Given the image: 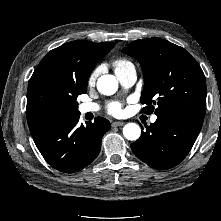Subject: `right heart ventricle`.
Listing matches in <instances>:
<instances>
[{
    "label": "right heart ventricle",
    "instance_id": "e07e8e85",
    "mask_svg": "<svg viewBox=\"0 0 221 221\" xmlns=\"http://www.w3.org/2000/svg\"><path fill=\"white\" fill-rule=\"evenodd\" d=\"M131 63L127 61L126 59H117L113 62V66L115 69V73L125 69L127 66H129Z\"/></svg>",
    "mask_w": 221,
    "mask_h": 221
}]
</instances>
